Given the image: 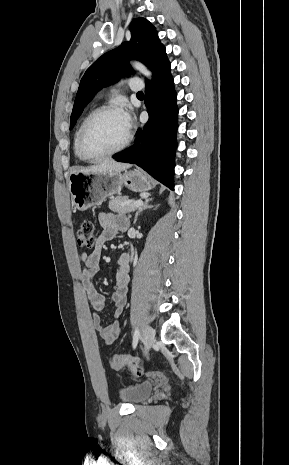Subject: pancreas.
Masks as SVG:
<instances>
[{
	"label": "pancreas",
	"mask_w": 289,
	"mask_h": 465,
	"mask_svg": "<svg viewBox=\"0 0 289 465\" xmlns=\"http://www.w3.org/2000/svg\"><path fill=\"white\" fill-rule=\"evenodd\" d=\"M133 203L134 200H129L126 196H117L109 201V209L121 214L130 213L136 209Z\"/></svg>",
	"instance_id": "pancreas-1"
}]
</instances>
